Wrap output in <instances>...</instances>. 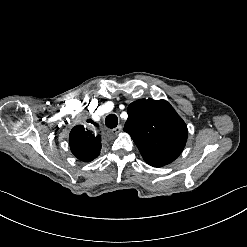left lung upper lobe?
I'll use <instances>...</instances> for the list:
<instances>
[{
  "mask_svg": "<svg viewBox=\"0 0 247 247\" xmlns=\"http://www.w3.org/2000/svg\"><path fill=\"white\" fill-rule=\"evenodd\" d=\"M127 113L124 131L130 134L146 163L162 167L180 155L188 130L167 101L140 99L128 106Z\"/></svg>",
  "mask_w": 247,
  "mask_h": 247,
  "instance_id": "5c2ea615",
  "label": "left lung upper lobe"
}]
</instances>
